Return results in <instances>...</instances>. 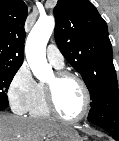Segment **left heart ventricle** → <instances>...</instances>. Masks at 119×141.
Instances as JSON below:
<instances>
[{"instance_id":"obj_1","label":"left heart ventricle","mask_w":119,"mask_h":141,"mask_svg":"<svg viewBox=\"0 0 119 141\" xmlns=\"http://www.w3.org/2000/svg\"><path fill=\"white\" fill-rule=\"evenodd\" d=\"M46 83L54 84L56 105L64 116L76 117L82 112L84 95L76 80L73 78H65L55 82L54 75H52Z\"/></svg>"}]
</instances>
